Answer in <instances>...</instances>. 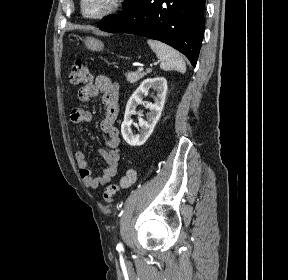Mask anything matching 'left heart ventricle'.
I'll use <instances>...</instances> for the list:
<instances>
[{"mask_svg": "<svg viewBox=\"0 0 288 280\" xmlns=\"http://www.w3.org/2000/svg\"><path fill=\"white\" fill-rule=\"evenodd\" d=\"M107 3V0H89L86 9L90 13L101 10Z\"/></svg>", "mask_w": 288, "mask_h": 280, "instance_id": "1", "label": "left heart ventricle"}]
</instances>
